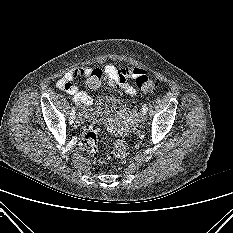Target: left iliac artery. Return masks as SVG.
I'll return each mask as SVG.
<instances>
[{
  "label": "left iliac artery",
  "mask_w": 233,
  "mask_h": 233,
  "mask_svg": "<svg viewBox=\"0 0 233 233\" xmlns=\"http://www.w3.org/2000/svg\"><path fill=\"white\" fill-rule=\"evenodd\" d=\"M147 110H148L147 104L145 103V104L142 106V111H143L144 113H146Z\"/></svg>",
  "instance_id": "left-iliac-artery-1"
}]
</instances>
